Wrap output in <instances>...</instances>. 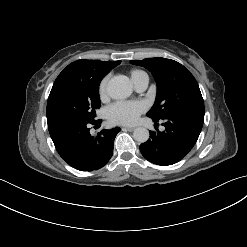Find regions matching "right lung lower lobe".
<instances>
[{
  "mask_svg": "<svg viewBox=\"0 0 247 247\" xmlns=\"http://www.w3.org/2000/svg\"><path fill=\"white\" fill-rule=\"evenodd\" d=\"M98 123L100 119L66 124L50 133L57 152L70 166L80 171L98 170L112 157L114 139L121 129H103L92 136L88 127Z\"/></svg>",
  "mask_w": 247,
  "mask_h": 247,
  "instance_id": "98d812e1",
  "label": "right lung lower lobe"
}]
</instances>
